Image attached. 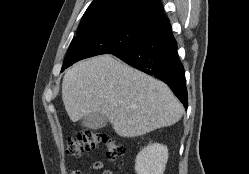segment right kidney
<instances>
[{
    "instance_id": "1",
    "label": "right kidney",
    "mask_w": 249,
    "mask_h": 174,
    "mask_svg": "<svg viewBox=\"0 0 249 174\" xmlns=\"http://www.w3.org/2000/svg\"><path fill=\"white\" fill-rule=\"evenodd\" d=\"M167 160V147L153 143L138 153L135 160V171L137 174H163Z\"/></svg>"
}]
</instances>
